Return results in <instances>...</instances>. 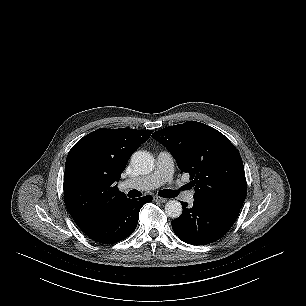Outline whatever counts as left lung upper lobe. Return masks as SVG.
<instances>
[{
    "label": "left lung upper lobe",
    "mask_w": 306,
    "mask_h": 306,
    "mask_svg": "<svg viewBox=\"0 0 306 306\" xmlns=\"http://www.w3.org/2000/svg\"><path fill=\"white\" fill-rule=\"evenodd\" d=\"M152 137L190 174L194 200L242 207L247 194L244 166L226 136L203 123L187 121L156 131Z\"/></svg>",
    "instance_id": "obj_1"
}]
</instances>
